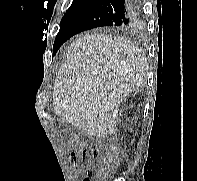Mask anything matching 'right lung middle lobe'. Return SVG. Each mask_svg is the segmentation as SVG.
<instances>
[{"label":"right lung middle lobe","mask_w":197,"mask_h":181,"mask_svg":"<svg viewBox=\"0 0 197 181\" xmlns=\"http://www.w3.org/2000/svg\"><path fill=\"white\" fill-rule=\"evenodd\" d=\"M87 8H78L74 10H68L60 23V30L56 36L54 45H53V55L57 52L60 46L64 43L70 29L79 18V16L86 10ZM117 28V27H113Z\"/></svg>","instance_id":"dd1d6c3e"}]
</instances>
